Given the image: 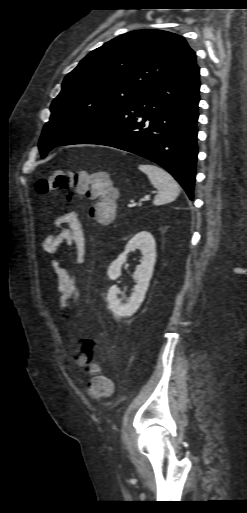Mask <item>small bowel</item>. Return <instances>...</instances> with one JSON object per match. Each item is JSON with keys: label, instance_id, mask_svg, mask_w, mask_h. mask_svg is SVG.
<instances>
[{"label": "small bowel", "instance_id": "c3829d8e", "mask_svg": "<svg viewBox=\"0 0 247 513\" xmlns=\"http://www.w3.org/2000/svg\"><path fill=\"white\" fill-rule=\"evenodd\" d=\"M53 231L46 235L42 242L43 251L47 254H57L63 246L70 247L67 254H73L76 264H83L86 258V241L83 225L74 212L57 217ZM52 266L57 276V291L60 294V306L63 310L71 307V298L77 301L79 292L74 286V277L70 269L62 262V257H56ZM90 343L93 347V343Z\"/></svg>", "mask_w": 247, "mask_h": 513}]
</instances>
